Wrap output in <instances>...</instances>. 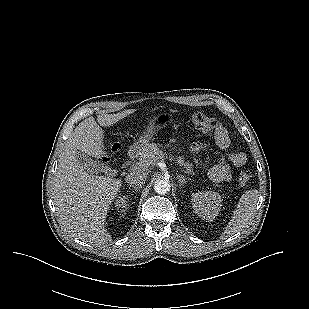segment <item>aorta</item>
<instances>
[{
	"label": "aorta",
	"instance_id": "obj_1",
	"mask_svg": "<svg viewBox=\"0 0 309 309\" xmlns=\"http://www.w3.org/2000/svg\"><path fill=\"white\" fill-rule=\"evenodd\" d=\"M170 183L168 180L160 179L157 180L154 184V190L158 194H166L170 191Z\"/></svg>",
	"mask_w": 309,
	"mask_h": 309
}]
</instances>
